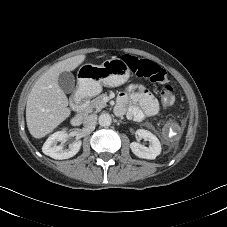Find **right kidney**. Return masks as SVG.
<instances>
[{
	"mask_svg": "<svg viewBox=\"0 0 227 227\" xmlns=\"http://www.w3.org/2000/svg\"><path fill=\"white\" fill-rule=\"evenodd\" d=\"M68 136L66 130L53 133L44 143L42 152L51 158L62 160L73 157L78 153L81 147V141H75L69 145L68 149H64L63 145H57Z\"/></svg>",
	"mask_w": 227,
	"mask_h": 227,
	"instance_id": "1",
	"label": "right kidney"
}]
</instances>
